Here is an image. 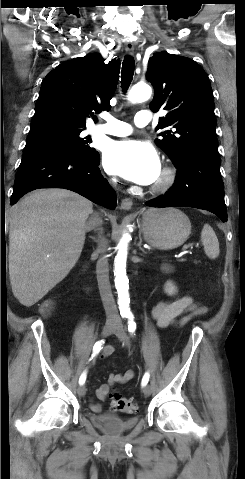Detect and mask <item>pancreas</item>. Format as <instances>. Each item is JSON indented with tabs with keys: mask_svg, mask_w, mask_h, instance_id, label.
I'll list each match as a JSON object with an SVG mask.
<instances>
[{
	"mask_svg": "<svg viewBox=\"0 0 245 479\" xmlns=\"http://www.w3.org/2000/svg\"><path fill=\"white\" fill-rule=\"evenodd\" d=\"M180 261H185L184 259H181Z\"/></svg>",
	"mask_w": 245,
	"mask_h": 479,
	"instance_id": "cf45deb5",
	"label": "pancreas"
}]
</instances>
